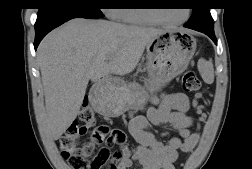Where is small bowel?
Segmentation results:
<instances>
[{
	"label": "small bowel",
	"mask_w": 252,
	"mask_h": 169,
	"mask_svg": "<svg viewBox=\"0 0 252 169\" xmlns=\"http://www.w3.org/2000/svg\"><path fill=\"white\" fill-rule=\"evenodd\" d=\"M190 101L182 92L164 93L151 97V106L144 114L131 113L128 129L138 146L134 150L125 149L115 154L114 169H128L133 160L138 169H175L178 151L189 152L198 141V134L190 131L192 118L188 115ZM152 125L170 126L177 135L167 144L156 139L149 130ZM102 142L93 135L90 144Z\"/></svg>",
	"instance_id": "obj_1"
}]
</instances>
